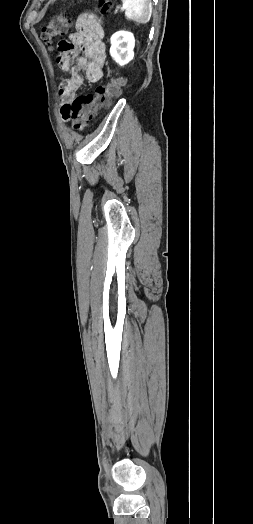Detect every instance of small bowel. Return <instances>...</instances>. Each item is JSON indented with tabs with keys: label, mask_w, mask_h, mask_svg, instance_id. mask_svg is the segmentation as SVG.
Returning <instances> with one entry per match:
<instances>
[{
	"label": "small bowel",
	"mask_w": 253,
	"mask_h": 524,
	"mask_svg": "<svg viewBox=\"0 0 253 524\" xmlns=\"http://www.w3.org/2000/svg\"><path fill=\"white\" fill-rule=\"evenodd\" d=\"M72 34L65 35L61 38L64 42L57 45V62L69 73L60 87L61 101L65 105L74 101L83 84V74L92 83L102 80L105 64L104 30L92 14H81L76 21V31H72ZM78 48L85 56L76 57ZM101 111L108 113L110 106L103 104Z\"/></svg>",
	"instance_id": "obj_1"
}]
</instances>
